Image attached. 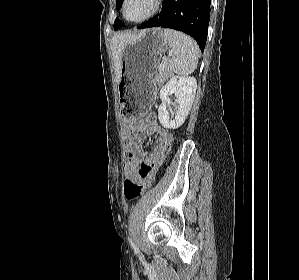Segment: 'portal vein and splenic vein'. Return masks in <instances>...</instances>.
<instances>
[{"instance_id":"portal-vein-and-splenic-vein-1","label":"portal vein and splenic vein","mask_w":299,"mask_h":280,"mask_svg":"<svg viewBox=\"0 0 299 280\" xmlns=\"http://www.w3.org/2000/svg\"><path fill=\"white\" fill-rule=\"evenodd\" d=\"M165 69V65L163 63H161V65L159 66V70L163 71Z\"/></svg>"}]
</instances>
